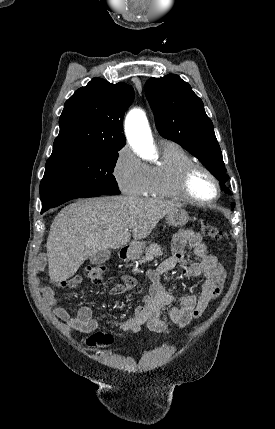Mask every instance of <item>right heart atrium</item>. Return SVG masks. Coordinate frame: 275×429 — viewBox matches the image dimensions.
<instances>
[{
  "label": "right heart atrium",
  "mask_w": 275,
  "mask_h": 429,
  "mask_svg": "<svg viewBox=\"0 0 275 429\" xmlns=\"http://www.w3.org/2000/svg\"><path fill=\"white\" fill-rule=\"evenodd\" d=\"M113 175L123 193L131 196L146 193L149 184V166L129 146L124 145L117 151Z\"/></svg>",
  "instance_id": "right-heart-atrium-1"
}]
</instances>
